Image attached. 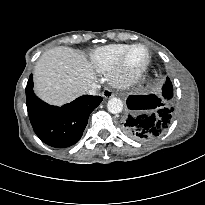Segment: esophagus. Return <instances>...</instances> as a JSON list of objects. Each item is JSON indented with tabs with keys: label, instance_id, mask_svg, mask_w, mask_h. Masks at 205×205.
<instances>
[{
	"label": "esophagus",
	"instance_id": "obj_1",
	"mask_svg": "<svg viewBox=\"0 0 205 205\" xmlns=\"http://www.w3.org/2000/svg\"><path fill=\"white\" fill-rule=\"evenodd\" d=\"M114 95L113 91L109 88H105L102 92V96L106 99L111 98Z\"/></svg>",
	"mask_w": 205,
	"mask_h": 205
}]
</instances>
